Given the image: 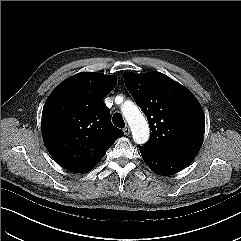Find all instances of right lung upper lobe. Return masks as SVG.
Instances as JSON below:
<instances>
[{
  "label": "right lung upper lobe",
  "instance_id": "cb5924a9",
  "mask_svg": "<svg viewBox=\"0 0 241 241\" xmlns=\"http://www.w3.org/2000/svg\"><path fill=\"white\" fill-rule=\"evenodd\" d=\"M116 83L115 76L79 73L63 81L48 97L41 120L44 143L67 170L89 171L124 135L112 125L110 111L102 101Z\"/></svg>",
  "mask_w": 241,
  "mask_h": 241
}]
</instances>
